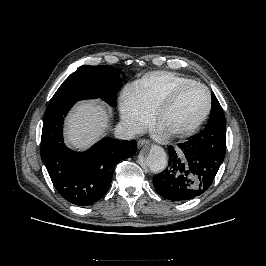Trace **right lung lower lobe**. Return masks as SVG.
Returning a JSON list of instances; mask_svg holds the SVG:
<instances>
[{
    "label": "right lung lower lobe",
    "instance_id": "right-lung-lower-lobe-1",
    "mask_svg": "<svg viewBox=\"0 0 266 266\" xmlns=\"http://www.w3.org/2000/svg\"><path fill=\"white\" fill-rule=\"evenodd\" d=\"M77 100L52 98L44 115L41 158L59 194L72 204L88 206L108 191L117 162L137 151L136 142L104 138L84 153L63 143V120Z\"/></svg>",
    "mask_w": 266,
    "mask_h": 266
}]
</instances>
